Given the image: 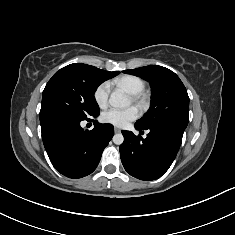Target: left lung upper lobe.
Listing matches in <instances>:
<instances>
[{"label": "left lung upper lobe", "instance_id": "obj_1", "mask_svg": "<svg viewBox=\"0 0 235 235\" xmlns=\"http://www.w3.org/2000/svg\"><path fill=\"white\" fill-rule=\"evenodd\" d=\"M123 73L147 80L151 86V104L148 112L136 122L144 128L171 124L186 128L189 121V97L180 78L168 68L145 66Z\"/></svg>", "mask_w": 235, "mask_h": 235}]
</instances>
